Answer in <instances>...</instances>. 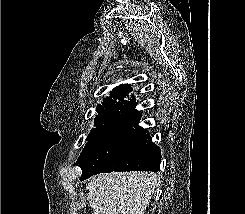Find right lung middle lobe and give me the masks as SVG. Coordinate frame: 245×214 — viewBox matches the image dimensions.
<instances>
[{
    "instance_id": "right-lung-middle-lobe-1",
    "label": "right lung middle lobe",
    "mask_w": 245,
    "mask_h": 214,
    "mask_svg": "<svg viewBox=\"0 0 245 214\" xmlns=\"http://www.w3.org/2000/svg\"><path fill=\"white\" fill-rule=\"evenodd\" d=\"M125 129L116 130L106 135H89L78 161L82 176L108 172L119 166L117 147L127 138Z\"/></svg>"
}]
</instances>
